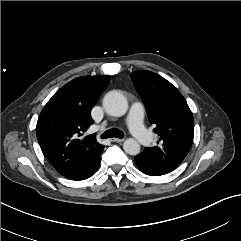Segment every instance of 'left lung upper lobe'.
<instances>
[{
  "label": "left lung upper lobe",
  "mask_w": 241,
  "mask_h": 241,
  "mask_svg": "<svg viewBox=\"0 0 241 241\" xmlns=\"http://www.w3.org/2000/svg\"><path fill=\"white\" fill-rule=\"evenodd\" d=\"M151 123L156 125L157 146L137 155L141 163L175 169L190 151L194 119L182 94L166 79L150 71L131 74Z\"/></svg>",
  "instance_id": "obj_1"
}]
</instances>
